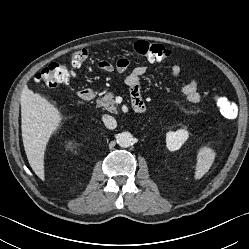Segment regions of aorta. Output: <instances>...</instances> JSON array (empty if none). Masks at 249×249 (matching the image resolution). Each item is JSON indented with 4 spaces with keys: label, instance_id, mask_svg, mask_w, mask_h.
Segmentation results:
<instances>
[{
    "label": "aorta",
    "instance_id": "1",
    "mask_svg": "<svg viewBox=\"0 0 249 249\" xmlns=\"http://www.w3.org/2000/svg\"><path fill=\"white\" fill-rule=\"evenodd\" d=\"M133 135L130 132H122L117 136V143L120 147L126 148L132 145Z\"/></svg>",
    "mask_w": 249,
    "mask_h": 249
}]
</instances>
